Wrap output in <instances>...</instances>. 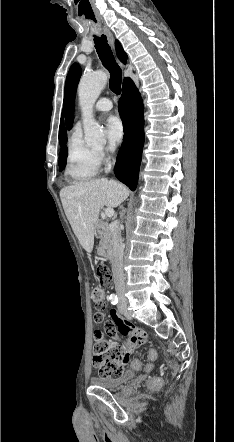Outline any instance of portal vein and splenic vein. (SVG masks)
<instances>
[{"label": "portal vein and splenic vein", "instance_id": "1", "mask_svg": "<svg viewBox=\"0 0 234 442\" xmlns=\"http://www.w3.org/2000/svg\"><path fill=\"white\" fill-rule=\"evenodd\" d=\"M104 214L106 217H112L114 215V209L108 207L104 210Z\"/></svg>", "mask_w": 234, "mask_h": 442}]
</instances>
